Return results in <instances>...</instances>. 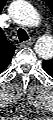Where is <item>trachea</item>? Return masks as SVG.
I'll return each mask as SVG.
<instances>
[{
    "label": "trachea",
    "mask_w": 53,
    "mask_h": 120,
    "mask_svg": "<svg viewBox=\"0 0 53 120\" xmlns=\"http://www.w3.org/2000/svg\"><path fill=\"white\" fill-rule=\"evenodd\" d=\"M18 38L20 42L29 40L28 34L24 29H21V28L18 30Z\"/></svg>",
    "instance_id": "1"
}]
</instances>
